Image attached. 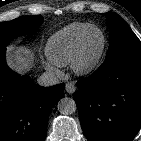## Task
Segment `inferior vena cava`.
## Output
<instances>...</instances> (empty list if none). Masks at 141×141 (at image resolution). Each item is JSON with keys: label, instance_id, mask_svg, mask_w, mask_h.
Returning a JSON list of instances; mask_svg holds the SVG:
<instances>
[{"label": "inferior vena cava", "instance_id": "obj_1", "mask_svg": "<svg viewBox=\"0 0 141 141\" xmlns=\"http://www.w3.org/2000/svg\"><path fill=\"white\" fill-rule=\"evenodd\" d=\"M59 80L58 78L50 73V72H44L38 79L37 83L40 86L43 87H49L58 84Z\"/></svg>", "mask_w": 141, "mask_h": 141}]
</instances>
